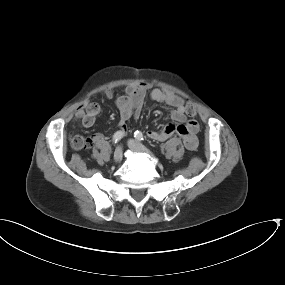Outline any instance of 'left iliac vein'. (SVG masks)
<instances>
[{
    "label": "left iliac vein",
    "mask_w": 285,
    "mask_h": 285,
    "mask_svg": "<svg viewBox=\"0 0 285 285\" xmlns=\"http://www.w3.org/2000/svg\"><path fill=\"white\" fill-rule=\"evenodd\" d=\"M128 146L134 152H142V153L150 154V151L144 145L137 142L136 140L129 139Z\"/></svg>",
    "instance_id": "1"
}]
</instances>
